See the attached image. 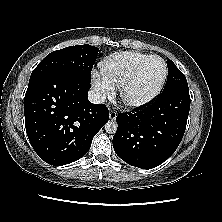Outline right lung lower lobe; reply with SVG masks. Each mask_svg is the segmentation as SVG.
Masks as SVG:
<instances>
[{"instance_id": "right-lung-lower-lobe-1", "label": "right lung lower lobe", "mask_w": 222, "mask_h": 222, "mask_svg": "<svg viewBox=\"0 0 222 222\" xmlns=\"http://www.w3.org/2000/svg\"><path fill=\"white\" fill-rule=\"evenodd\" d=\"M90 81L71 74H50L29 81L25 127L38 156L61 166L85 155L93 137L109 119L104 104L88 100Z\"/></svg>"}]
</instances>
